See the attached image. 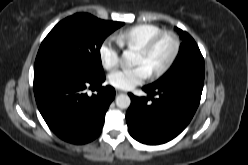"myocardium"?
<instances>
[{
	"label": "myocardium",
	"mask_w": 248,
	"mask_h": 165,
	"mask_svg": "<svg viewBox=\"0 0 248 165\" xmlns=\"http://www.w3.org/2000/svg\"><path fill=\"white\" fill-rule=\"evenodd\" d=\"M164 39H169L172 43V49L167 60L156 70L151 73L152 78H157L166 73L170 67L176 61L179 52L181 43L178 36L172 32H162L154 37H152L149 41H147L141 48H139V52L144 55H149L154 48Z\"/></svg>",
	"instance_id": "1"
}]
</instances>
